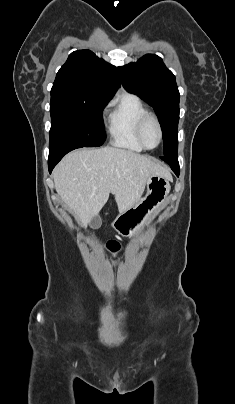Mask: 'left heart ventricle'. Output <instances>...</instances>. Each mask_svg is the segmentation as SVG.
Wrapping results in <instances>:
<instances>
[{
    "mask_svg": "<svg viewBox=\"0 0 235 404\" xmlns=\"http://www.w3.org/2000/svg\"><path fill=\"white\" fill-rule=\"evenodd\" d=\"M143 139L147 146L154 147L158 143L159 133L154 121L149 120L143 130Z\"/></svg>",
    "mask_w": 235,
    "mask_h": 404,
    "instance_id": "1",
    "label": "left heart ventricle"
}]
</instances>
